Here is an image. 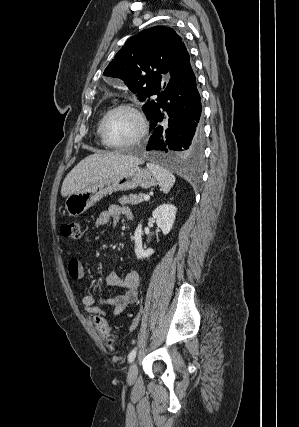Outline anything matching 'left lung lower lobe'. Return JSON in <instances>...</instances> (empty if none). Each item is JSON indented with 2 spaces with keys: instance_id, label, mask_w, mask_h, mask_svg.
<instances>
[{
  "instance_id": "left-lung-lower-lobe-1",
  "label": "left lung lower lobe",
  "mask_w": 299,
  "mask_h": 427,
  "mask_svg": "<svg viewBox=\"0 0 299 427\" xmlns=\"http://www.w3.org/2000/svg\"><path fill=\"white\" fill-rule=\"evenodd\" d=\"M169 75L151 109L152 136L146 150L161 161L195 159L203 149L201 98L183 42L176 51Z\"/></svg>"
}]
</instances>
